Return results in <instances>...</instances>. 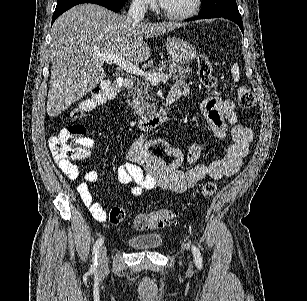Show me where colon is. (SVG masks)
<instances>
[{
    "mask_svg": "<svg viewBox=\"0 0 307 301\" xmlns=\"http://www.w3.org/2000/svg\"><path fill=\"white\" fill-rule=\"evenodd\" d=\"M198 65V75L201 82L208 88L215 87L217 78L213 73L212 64L208 57L204 54L200 55ZM120 86L118 81L101 83L91 94L77 104L72 110V117L80 118L85 112L112 99L119 92ZM237 102L243 109L254 106L255 99L251 89L246 86L240 87L237 91ZM85 137V128L82 125H70L49 139L50 151L56 158L68 160L71 163L84 160L89 155L88 148L84 143ZM216 190V184L213 181H208L203 184L201 192L204 197H211ZM109 220L115 225L132 222L137 230H150L171 225L174 221V215L168 210H157L131 216L125 209L113 207L109 212Z\"/></svg>",
    "mask_w": 307,
    "mask_h": 301,
    "instance_id": "obj_1",
    "label": "colon"
}]
</instances>
